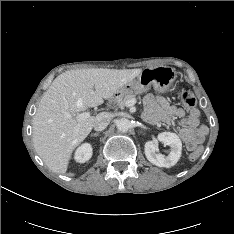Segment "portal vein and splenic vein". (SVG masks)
I'll return each mask as SVG.
<instances>
[{
	"label": "portal vein and splenic vein",
	"mask_w": 234,
	"mask_h": 234,
	"mask_svg": "<svg viewBox=\"0 0 234 234\" xmlns=\"http://www.w3.org/2000/svg\"><path fill=\"white\" fill-rule=\"evenodd\" d=\"M134 104H135V100H128L125 103V105L128 106V107L133 106ZM90 116H91V113L86 111V112H83V113L79 114L77 116V118H78L79 121H82V120H85V119L89 118Z\"/></svg>",
	"instance_id": "18ae733b"
}]
</instances>
